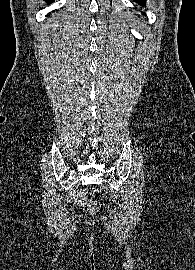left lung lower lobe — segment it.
<instances>
[{
  "instance_id": "1",
  "label": "left lung lower lobe",
  "mask_w": 195,
  "mask_h": 270,
  "mask_svg": "<svg viewBox=\"0 0 195 270\" xmlns=\"http://www.w3.org/2000/svg\"><path fill=\"white\" fill-rule=\"evenodd\" d=\"M133 1H135V2L139 3L140 5L144 6L146 0H133Z\"/></svg>"
}]
</instances>
